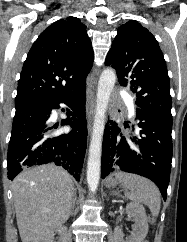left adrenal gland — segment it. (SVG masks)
Wrapping results in <instances>:
<instances>
[{
	"mask_svg": "<svg viewBox=\"0 0 187 242\" xmlns=\"http://www.w3.org/2000/svg\"><path fill=\"white\" fill-rule=\"evenodd\" d=\"M110 195H117V193L114 191H110Z\"/></svg>",
	"mask_w": 187,
	"mask_h": 242,
	"instance_id": "obj_1",
	"label": "left adrenal gland"
}]
</instances>
